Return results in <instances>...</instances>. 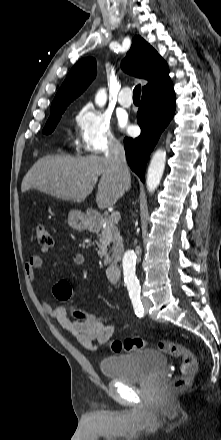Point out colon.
Segmentation results:
<instances>
[{
	"label": "colon",
	"instance_id": "1",
	"mask_svg": "<svg viewBox=\"0 0 221 440\" xmlns=\"http://www.w3.org/2000/svg\"><path fill=\"white\" fill-rule=\"evenodd\" d=\"M35 238L37 243L43 248L52 246V237L43 224H39L35 228ZM54 295L61 301L65 307L72 305L67 313L68 321H76L77 318H85L86 321H96L98 324L115 325V320L111 315H100L98 312H89L88 309H82L80 303H74L72 299L73 288L69 281H60L53 288ZM147 346V342L139 337L126 338L124 340H113L110 342V348L115 353L131 352L140 350ZM155 347L164 353H168L181 360L180 372L178 377L173 379L167 386L166 390L173 393L178 390L188 388L197 374V360L195 354L183 345L169 341H158Z\"/></svg>",
	"mask_w": 221,
	"mask_h": 440
}]
</instances>
